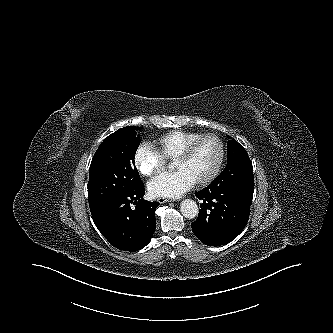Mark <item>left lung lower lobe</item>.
Returning <instances> with one entry per match:
<instances>
[{"label":"left lung lower lobe","instance_id":"1","mask_svg":"<svg viewBox=\"0 0 333 333\" xmlns=\"http://www.w3.org/2000/svg\"><path fill=\"white\" fill-rule=\"evenodd\" d=\"M200 204L192 225L195 236L208 246H220L234 240L245 228L253 196L235 189L228 177L216 178L195 193Z\"/></svg>","mask_w":333,"mask_h":333}]
</instances>
